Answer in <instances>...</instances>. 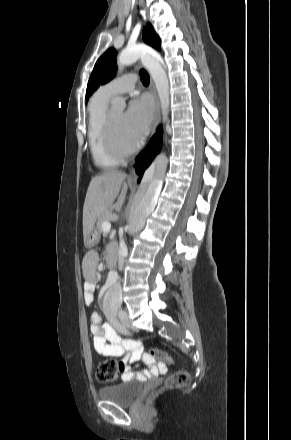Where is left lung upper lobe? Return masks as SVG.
Returning a JSON list of instances; mask_svg holds the SVG:
<instances>
[{
    "instance_id": "obj_1",
    "label": "left lung upper lobe",
    "mask_w": 291,
    "mask_h": 440,
    "mask_svg": "<svg viewBox=\"0 0 291 440\" xmlns=\"http://www.w3.org/2000/svg\"><path fill=\"white\" fill-rule=\"evenodd\" d=\"M143 40L160 50V38L155 33L152 25L148 23L143 29ZM116 74V51L113 48L108 49L96 62L92 74L90 76L86 100L91 96V94L100 86L109 82Z\"/></svg>"
}]
</instances>
